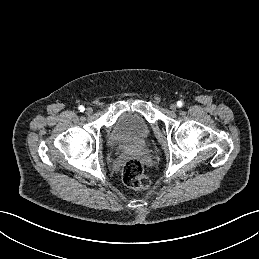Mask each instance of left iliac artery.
Returning a JSON list of instances; mask_svg holds the SVG:
<instances>
[{"instance_id":"obj_1","label":"left iliac artery","mask_w":259,"mask_h":259,"mask_svg":"<svg viewBox=\"0 0 259 259\" xmlns=\"http://www.w3.org/2000/svg\"><path fill=\"white\" fill-rule=\"evenodd\" d=\"M183 104H184V103H183L182 101H178V102H177V106H178V107H182Z\"/></svg>"}]
</instances>
